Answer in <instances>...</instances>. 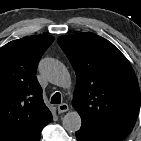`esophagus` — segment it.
I'll return each mask as SVG.
<instances>
[{
  "label": "esophagus",
  "mask_w": 141,
  "mask_h": 141,
  "mask_svg": "<svg viewBox=\"0 0 141 141\" xmlns=\"http://www.w3.org/2000/svg\"><path fill=\"white\" fill-rule=\"evenodd\" d=\"M57 109H58L59 113H64L69 110V106L66 103H62V104L58 105Z\"/></svg>",
  "instance_id": "34e87169"
}]
</instances>
